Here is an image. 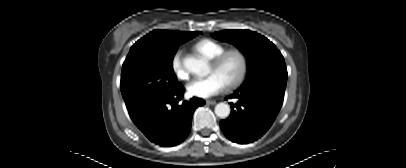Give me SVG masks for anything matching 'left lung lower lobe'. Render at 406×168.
<instances>
[{
	"label": "left lung lower lobe",
	"mask_w": 406,
	"mask_h": 168,
	"mask_svg": "<svg viewBox=\"0 0 406 168\" xmlns=\"http://www.w3.org/2000/svg\"><path fill=\"white\" fill-rule=\"evenodd\" d=\"M285 89L271 86L236 91L227 98H236L230 116L220 122L225 136L236 143L258 140L273 124L279 113ZM236 107V109H234Z\"/></svg>",
	"instance_id": "1"
}]
</instances>
